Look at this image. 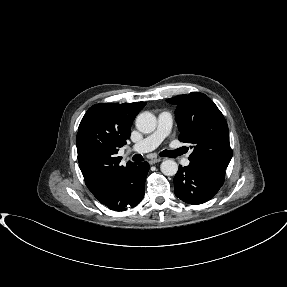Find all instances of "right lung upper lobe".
<instances>
[{
  "instance_id": "cb5924a9",
  "label": "right lung upper lobe",
  "mask_w": 287,
  "mask_h": 287,
  "mask_svg": "<svg viewBox=\"0 0 287 287\" xmlns=\"http://www.w3.org/2000/svg\"><path fill=\"white\" fill-rule=\"evenodd\" d=\"M145 102L106 104L99 103L88 109L82 118L76 145L78 162L85 184L100 199L109 184L126 167L117 156L120 147L130 137L131 125Z\"/></svg>"
}]
</instances>
